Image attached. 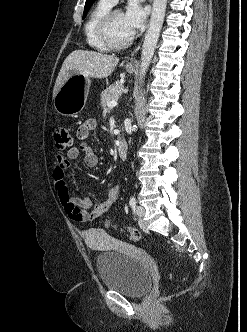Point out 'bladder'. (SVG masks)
I'll return each mask as SVG.
<instances>
[{
    "mask_svg": "<svg viewBox=\"0 0 247 332\" xmlns=\"http://www.w3.org/2000/svg\"><path fill=\"white\" fill-rule=\"evenodd\" d=\"M85 241L91 245L90 236ZM96 267L103 286L128 297H141L152 286V258L145 252L116 246L96 257Z\"/></svg>",
    "mask_w": 247,
    "mask_h": 332,
    "instance_id": "bladder-1",
    "label": "bladder"
}]
</instances>
